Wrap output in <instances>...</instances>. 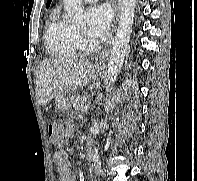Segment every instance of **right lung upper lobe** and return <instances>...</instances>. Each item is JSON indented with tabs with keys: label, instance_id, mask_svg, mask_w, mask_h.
Wrapping results in <instances>:
<instances>
[{
	"label": "right lung upper lobe",
	"instance_id": "obj_1",
	"mask_svg": "<svg viewBox=\"0 0 197 181\" xmlns=\"http://www.w3.org/2000/svg\"><path fill=\"white\" fill-rule=\"evenodd\" d=\"M51 0H48L46 7L48 8L50 6Z\"/></svg>",
	"mask_w": 197,
	"mask_h": 181
}]
</instances>
